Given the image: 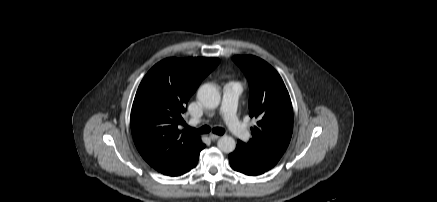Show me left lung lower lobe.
Instances as JSON below:
<instances>
[{
    "mask_svg": "<svg viewBox=\"0 0 437 202\" xmlns=\"http://www.w3.org/2000/svg\"><path fill=\"white\" fill-rule=\"evenodd\" d=\"M229 161L232 169L249 176L260 175L273 168L251 153L241 141H238L235 151L229 154Z\"/></svg>",
    "mask_w": 437,
    "mask_h": 202,
    "instance_id": "1",
    "label": "left lung lower lobe"
}]
</instances>
